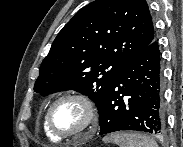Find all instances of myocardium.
<instances>
[{
    "instance_id": "myocardium-1",
    "label": "myocardium",
    "mask_w": 183,
    "mask_h": 147,
    "mask_svg": "<svg viewBox=\"0 0 183 147\" xmlns=\"http://www.w3.org/2000/svg\"><path fill=\"white\" fill-rule=\"evenodd\" d=\"M67 99L76 100L85 107L87 112V120L85 125L79 130L70 132V133H61L54 128L52 124L51 114L54 107L58 103ZM97 121H98V112L93 100L89 96L82 93H77V92H69L57 97L48 107L46 116H45V122H46L47 128L54 136H56L59 139H67V138L78 136L84 133L85 131L89 130L90 128H92L97 123Z\"/></svg>"
}]
</instances>
